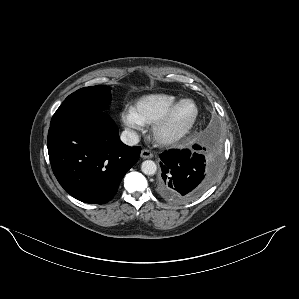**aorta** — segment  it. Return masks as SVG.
Listing matches in <instances>:
<instances>
[{"label":"aorta","instance_id":"aorta-1","mask_svg":"<svg viewBox=\"0 0 299 299\" xmlns=\"http://www.w3.org/2000/svg\"><path fill=\"white\" fill-rule=\"evenodd\" d=\"M141 170L145 175H154L157 171V165L152 160H146L142 163Z\"/></svg>","mask_w":299,"mask_h":299}]
</instances>
